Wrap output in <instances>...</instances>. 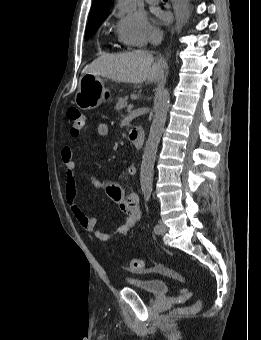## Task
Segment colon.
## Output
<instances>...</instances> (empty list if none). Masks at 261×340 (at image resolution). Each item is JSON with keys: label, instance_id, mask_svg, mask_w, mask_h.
<instances>
[{"label": "colon", "instance_id": "1", "mask_svg": "<svg viewBox=\"0 0 261 340\" xmlns=\"http://www.w3.org/2000/svg\"><path fill=\"white\" fill-rule=\"evenodd\" d=\"M67 121L69 125L70 132L73 136H77L84 129L85 120L82 113L74 107H71L67 111ZM128 267L132 271H139L143 267V262L141 259L133 258L129 261ZM201 307V302L197 301L193 305L178 309L179 313H193L199 310Z\"/></svg>", "mask_w": 261, "mask_h": 340}]
</instances>
